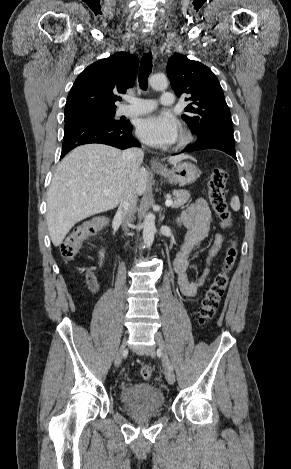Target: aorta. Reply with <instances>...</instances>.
Masks as SVG:
<instances>
[{
    "instance_id": "1",
    "label": "aorta",
    "mask_w": 291,
    "mask_h": 469,
    "mask_svg": "<svg viewBox=\"0 0 291 469\" xmlns=\"http://www.w3.org/2000/svg\"><path fill=\"white\" fill-rule=\"evenodd\" d=\"M149 83L155 90H165L168 87V80L164 75L151 76ZM155 232V216L152 213H148L143 222V242L147 247L152 245Z\"/></svg>"
}]
</instances>
